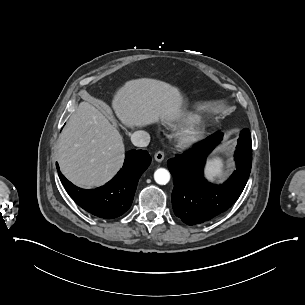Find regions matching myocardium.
Listing matches in <instances>:
<instances>
[{"label":"myocardium","instance_id":"f54148a6","mask_svg":"<svg viewBox=\"0 0 305 305\" xmlns=\"http://www.w3.org/2000/svg\"><path fill=\"white\" fill-rule=\"evenodd\" d=\"M208 133L207 125L204 123H192L183 133V140L187 144H196L202 141Z\"/></svg>","mask_w":305,"mask_h":305}]
</instances>
